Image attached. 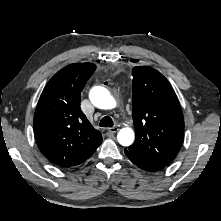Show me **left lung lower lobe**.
<instances>
[{
    "label": "left lung lower lobe",
    "instance_id": "left-lung-lower-lobe-1",
    "mask_svg": "<svg viewBox=\"0 0 221 221\" xmlns=\"http://www.w3.org/2000/svg\"><path fill=\"white\" fill-rule=\"evenodd\" d=\"M124 151L127 157L131 160V162L137 165L140 169L154 172V171H160L165 168V165L155 160H152L148 157L135 154L129 151L128 149H125Z\"/></svg>",
    "mask_w": 221,
    "mask_h": 221
}]
</instances>
